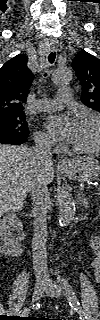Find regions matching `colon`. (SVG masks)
I'll return each instance as SVG.
<instances>
[{
	"label": "colon",
	"instance_id": "1",
	"mask_svg": "<svg viewBox=\"0 0 100 320\" xmlns=\"http://www.w3.org/2000/svg\"><path fill=\"white\" fill-rule=\"evenodd\" d=\"M98 245H99L98 239H97V238L93 239V240H92V246H93V247H97Z\"/></svg>",
	"mask_w": 100,
	"mask_h": 320
}]
</instances>
